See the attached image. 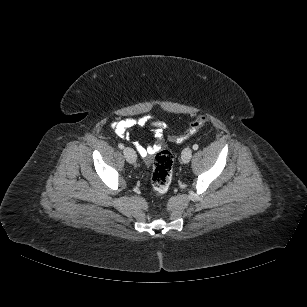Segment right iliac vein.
Segmentation results:
<instances>
[{"label":"right iliac vein","mask_w":307,"mask_h":307,"mask_svg":"<svg viewBox=\"0 0 307 307\" xmlns=\"http://www.w3.org/2000/svg\"><path fill=\"white\" fill-rule=\"evenodd\" d=\"M123 154H124V157L127 160V162H129L131 164L136 162L137 156H136L135 151L132 148L126 147L123 150Z\"/></svg>","instance_id":"63e3f726"}]
</instances>
